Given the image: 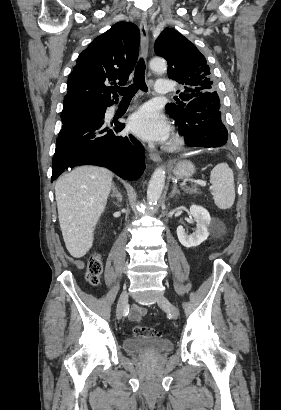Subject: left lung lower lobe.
Returning a JSON list of instances; mask_svg holds the SVG:
<instances>
[{
    "label": "left lung lower lobe",
    "mask_w": 281,
    "mask_h": 410,
    "mask_svg": "<svg viewBox=\"0 0 281 410\" xmlns=\"http://www.w3.org/2000/svg\"><path fill=\"white\" fill-rule=\"evenodd\" d=\"M190 147H220L228 132L221 121L219 96H200L189 102L184 119L176 122Z\"/></svg>",
    "instance_id": "obj_1"
}]
</instances>
